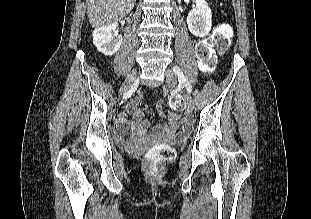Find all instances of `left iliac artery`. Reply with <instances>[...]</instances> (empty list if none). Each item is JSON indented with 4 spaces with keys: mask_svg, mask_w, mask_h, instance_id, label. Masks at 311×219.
<instances>
[{
    "mask_svg": "<svg viewBox=\"0 0 311 219\" xmlns=\"http://www.w3.org/2000/svg\"><path fill=\"white\" fill-rule=\"evenodd\" d=\"M173 71L177 75L179 83L184 84L188 93H191L192 92V86L189 83V81L186 79V77L184 76L182 70L178 66H174Z\"/></svg>",
    "mask_w": 311,
    "mask_h": 219,
    "instance_id": "1",
    "label": "left iliac artery"
}]
</instances>
